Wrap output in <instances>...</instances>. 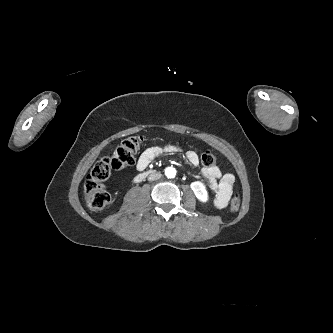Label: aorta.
<instances>
[{
    "label": "aorta",
    "instance_id": "obj_1",
    "mask_svg": "<svg viewBox=\"0 0 333 333\" xmlns=\"http://www.w3.org/2000/svg\"><path fill=\"white\" fill-rule=\"evenodd\" d=\"M165 175L168 178H174L176 176V169L173 167H168L165 169Z\"/></svg>",
    "mask_w": 333,
    "mask_h": 333
}]
</instances>
